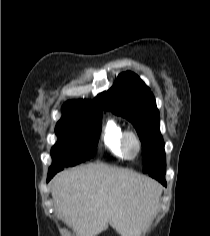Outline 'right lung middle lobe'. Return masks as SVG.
I'll return each mask as SVG.
<instances>
[{"label":"right lung middle lobe","instance_id":"right-lung-middle-lobe-1","mask_svg":"<svg viewBox=\"0 0 210 236\" xmlns=\"http://www.w3.org/2000/svg\"><path fill=\"white\" fill-rule=\"evenodd\" d=\"M101 120V111H63V116L55 128L58 141L51 150L52 166H74L94 157Z\"/></svg>","mask_w":210,"mask_h":236}]
</instances>
